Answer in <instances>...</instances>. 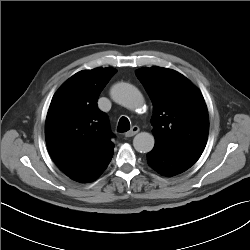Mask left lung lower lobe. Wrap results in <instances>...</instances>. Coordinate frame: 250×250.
<instances>
[{
	"label": "left lung lower lobe",
	"mask_w": 250,
	"mask_h": 250,
	"mask_svg": "<svg viewBox=\"0 0 250 250\" xmlns=\"http://www.w3.org/2000/svg\"><path fill=\"white\" fill-rule=\"evenodd\" d=\"M200 156L197 153L167 151L154 146L147 154V162L161 175L171 177L186 171Z\"/></svg>",
	"instance_id": "0a47b994"
}]
</instances>
